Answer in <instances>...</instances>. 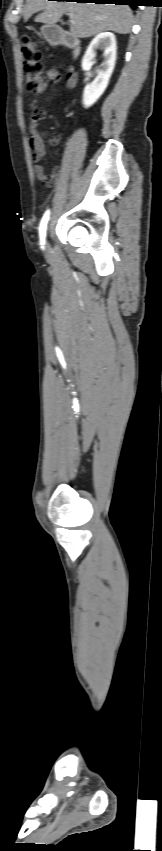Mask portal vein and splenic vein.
<instances>
[{"label":"portal vein and splenic vein","mask_w":162,"mask_h":851,"mask_svg":"<svg viewBox=\"0 0 162 851\" xmlns=\"http://www.w3.org/2000/svg\"><path fill=\"white\" fill-rule=\"evenodd\" d=\"M69 16H70V17H73V15H72V14H69Z\"/></svg>","instance_id":"obj_1"}]
</instances>
